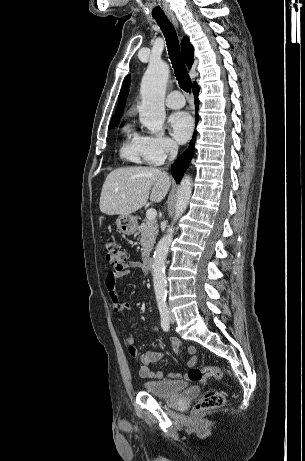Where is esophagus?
<instances>
[{
	"label": "esophagus",
	"instance_id": "1",
	"mask_svg": "<svg viewBox=\"0 0 305 461\" xmlns=\"http://www.w3.org/2000/svg\"><path fill=\"white\" fill-rule=\"evenodd\" d=\"M169 19L171 20V22L178 28L179 27V24H178V21L176 19L175 16H169Z\"/></svg>",
	"mask_w": 305,
	"mask_h": 461
}]
</instances>
